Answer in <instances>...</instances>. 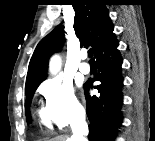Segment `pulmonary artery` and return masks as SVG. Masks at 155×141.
Returning a JSON list of instances; mask_svg holds the SVG:
<instances>
[{
    "label": "pulmonary artery",
    "mask_w": 155,
    "mask_h": 141,
    "mask_svg": "<svg viewBox=\"0 0 155 141\" xmlns=\"http://www.w3.org/2000/svg\"><path fill=\"white\" fill-rule=\"evenodd\" d=\"M86 57H87L86 52H83L81 54V59L85 60ZM79 71L83 74H88L90 72V66L86 62H83L79 65Z\"/></svg>",
    "instance_id": "e3ab8cb5"
}]
</instances>
